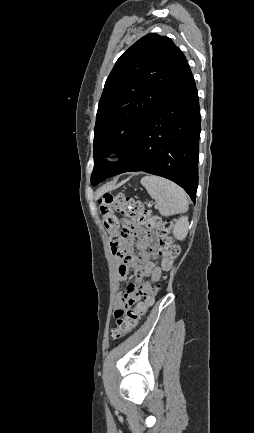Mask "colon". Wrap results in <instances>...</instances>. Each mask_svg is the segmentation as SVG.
<instances>
[{"instance_id": "5ec220e1", "label": "colon", "mask_w": 254, "mask_h": 433, "mask_svg": "<svg viewBox=\"0 0 254 433\" xmlns=\"http://www.w3.org/2000/svg\"><path fill=\"white\" fill-rule=\"evenodd\" d=\"M102 224L107 231L112 253L116 256L126 254V242L130 232L141 228L155 230L160 239V258L164 270H170L179 254V247L170 234L171 223L163 222L145 206L122 194H103L98 200ZM116 213L122 216L120 221ZM152 299L142 301L132 296L125 299L124 305L115 310V325L111 329L112 339H119L131 333L146 314ZM135 304V307L132 306Z\"/></svg>"}]
</instances>
